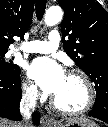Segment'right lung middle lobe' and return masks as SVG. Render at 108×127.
I'll return each mask as SVG.
<instances>
[{
	"mask_svg": "<svg viewBox=\"0 0 108 127\" xmlns=\"http://www.w3.org/2000/svg\"><path fill=\"white\" fill-rule=\"evenodd\" d=\"M7 50H0V73L6 76H15L20 73V67L12 64V61H6L4 56Z\"/></svg>",
	"mask_w": 108,
	"mask_h": 127,
	"instance_id": "right-lung-middle-lobe-1",
	"label": "right lung middle lobe"
}]
</instances>
